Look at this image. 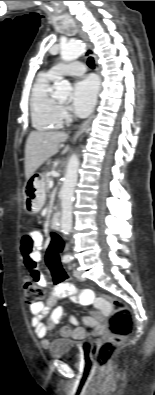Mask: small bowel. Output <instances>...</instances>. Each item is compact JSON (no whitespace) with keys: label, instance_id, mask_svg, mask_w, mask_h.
Listing matches in <instances>:
<instances>
[{"label":"small bowel","instance_id":"obj_1","mask_svg":"<svg viewBox=\"0 0 155 395\" xmlns=\"http://www.w3.org/2000/svg\"><path fill=\"white\" fill-rule=\"evenodd\" d=\"M41 246L42 237L39 232L34 231L23 236L20 251L29 275L36 278L42 287H47L48 281L38 266L41 258L39 251ZM67 295L72 299L78 298L79 302L83 305L95 303L96 311H101L102 315L112 314L113 304H110L105 296H94L91 290L78 291L75 283H64L63 288H54L53 286L51 294L45 303L40 301L30 305V312L33 316L31 325L40 340V345L44 349H48L51 346L50 340L47 339L48 332L61 321L63 316V309L57 306V303ZM48 314L49 318L44 322L43 319ZM72 322L76 324L77 320L72 318ZM83 322L85 325L92 327L95 334H101L103 332V325L98 317L86 316L83 318ZM60 335L63 338L83 339L86 336V331L81 327L72 329L69 326H65L61 328Z\"/></svg>","mask_w":155,"mask_h":395}]
</instances>
